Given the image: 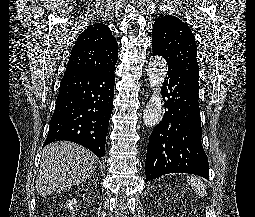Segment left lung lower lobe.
Segmentation results:
<instances>
[{
	"label": "left lung lower lobe",
	"instance_id": "0a47b994",
	"mask_svg": "<svg viewBox=\"0 0 255 217\" xmlns=\"http://www.w3.org/2000/svg\"><path fill=\"white\" fill-rule=\"evenodd\" d=\"M198 89V80L192 75L168 67L161 90L165 113L149 137L145 182L168 173H188L208 179V160L201 143Z\"/></svg>",
	"mask_w": 255,
	"mask_h": 217
}]
</instances>
